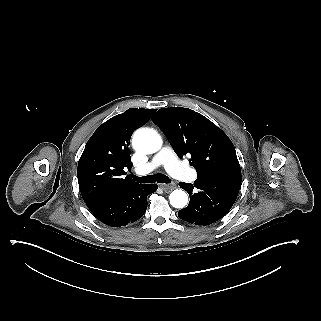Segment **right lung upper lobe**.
Masks as SVG:
<instances>
[{
	"label": "right lung upper lobe",
	"mask_w": 321,
	"mask_h": 321,
	"mask_svg": "<svg viewBox=\"0 0 321 321\" xmlns=\"http://www.w3.org/2000/svg\"><path fill=\"white\" fill-rule=\"evenodd\" d=\"M156 109L130 108L103 123L88 140L80 157L77 176L85 203L119 194L138 185L124 168H130L129 140Z\"/></svg>",
	"instance_id": "1"
}]
</instances>
